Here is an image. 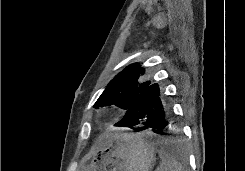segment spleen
I'll return each mask as SVG.
<instances>
[{"mask_svg":"<svg viewBox=\"0 0 245 171\" xmlns=\"http://www.w3.org/2000/svg\"><path fill=\"white\" fill-rule=\"evenodd\" d=\"M159 156L161 161L155 171H185L182 165L168 152L162 150Z\"/></svg>","mask_w":245,"mask_h":171,"instance_id":"1","label":"spleen"}]
</instances>
